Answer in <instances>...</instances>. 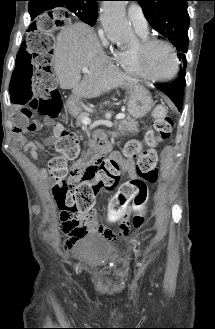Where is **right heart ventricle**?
<instances>
[{
	"label": "right heart ventricle",
	"instance_id": "1",
	"mask_svg": "<svg viewBox=\"0 0 215 329\" xmlns=\"http://www.w3.org/2000/svg\"><path fill=\"white\" fill-rule=\"evenodd\" d=\"M141 40L148 39V34L138 33ZM136 49L137 47L123 49L116 52L115 59L119 65L128 73L143 77L137 67L136 63Z\"/></svg>",
	"mask_w": 215,
	"mask_h": 329
}]
</instances>
